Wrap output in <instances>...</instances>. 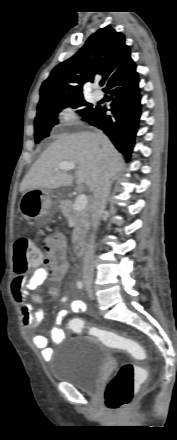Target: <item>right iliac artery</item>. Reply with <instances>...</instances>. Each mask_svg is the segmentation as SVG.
<instances>
[{"instance_id":"1","label":"right iliac artery","mask_w":177,"mask_h":440,"mask_svg":"<svg viewBox=\"0 0 177 440\" xmlns=\"http://www.w3.org/2000/svg\"><path fill=\"white\" fill-rule=\"evenodd\" d=\"M77 288L78 289H82L83 288V283L81 281L77 282Z\"/></svg>"}]
</instances>
